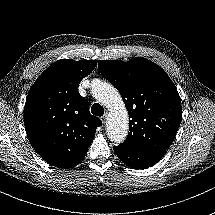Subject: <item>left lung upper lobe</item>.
<instances>
[{
	"instance_id": "left-lung-upper-lobe-1",
	"label": "left lung upper lobe",
	"mask_w": 215,
	"mask_h": 215,
	"mask_svg": "<svg viewBox=\"0 0 215 215\" xmlns=\"http://www.w3.org/2000/svg\"><path fill=\"white\" fill-rule=\"evenodd\" d=\"M98 69L119 90L129 114V133L119 146L139 152H166L179 128L182 108L165 71L143 57L99 60Z\"/></svg>"
}]
</instances>
